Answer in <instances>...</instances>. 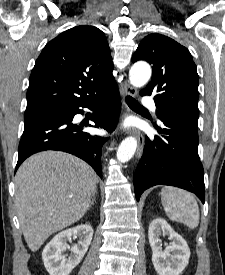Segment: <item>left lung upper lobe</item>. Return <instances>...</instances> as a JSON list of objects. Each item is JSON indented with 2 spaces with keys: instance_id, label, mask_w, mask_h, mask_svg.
Listing matches in <instances>:
<instances>
[{
  "instance_id": "5c2ea615",
  "label": "left lung upper lobe",
  "mask_w": 225,
  "mask_h": 275,
  "mask_svg": "<svg viewBox=\"0 0 225 275\" xmlns=\"http://www.w3.org/2000/svg\"><path fill=\"white\" fill-rule=\"evenodd\" d=\"M152 64L150 83L140 95H155L159 119L169 115L198 125V74L187 48L173 39L153 33L139 44L132 62Z\"/></svg>"
}]
</instances>
